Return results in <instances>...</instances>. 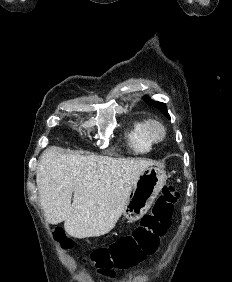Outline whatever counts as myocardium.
Masks as SVG:
<instances>
[{
    "label": "myocardium",
    "instance_id": "f54148a6",
    "mask_svg": "<svg viewBox=\"0 0 232 282\" xmlns=\"http://www.w3.org/2000/svg\"><path fill=\"white\" fill-rule=\"evenodd\" d=\"M147 135L153 143H158L166 138L167 130L161 121L152 119L147 124Z\"/></svg>",
    "mask_w": 232,
    "mask_h": 282
}]
</instances>
